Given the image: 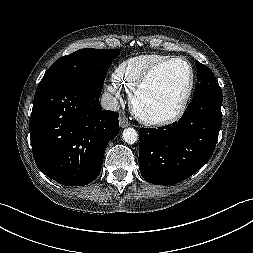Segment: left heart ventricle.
<instances>
[{
  "label": "left heart ventricle",
  "instance_id": "1",
  "mask_svg": "<svg viewBox=\"0 0 253 253\" xmlns=\"http://www.w3.org/2000/svg\"><path fill=\"white\" fill-rule=\"evenodd\" d=\"M190 73L182 62L170 63L157 70L140 94L139 108L148 115L173 113L188 88Z\"/></svg>",
  "mask_w": 253,
  "mask_h": 253
}]
</instances>
